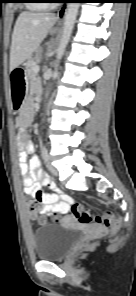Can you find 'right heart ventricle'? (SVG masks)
Here are the masks:
<instances>
[{
    "mask_svg": "<svg viewBox=\"0 0 136 296\" xmlns=\"http://www.w3.org/2000/svg\"><path fill=\"white\" fill-rule=\"evenodd\" d=\"M33 3H28V7L31 9H46L47 4L44 2V0H31Z\"/></svg>",
    "mask_w": 136,
    "mask_h": 296,
    "instance_id": "1",
    "label": "right heart ventricle"
}]
</instances>
